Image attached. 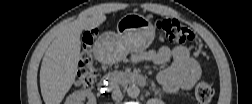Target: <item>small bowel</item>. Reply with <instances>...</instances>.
I'll return each mask as SVG.
<instances>
[{
    "label": "small bowel",
    "instance_id": "obj_1",
    "mask_svg": "<svg viewBox=\"0 0 252 104\" xmlns=\"http://www.w3.org/2000/svg\"><path fill=\"white\" fill-rule=\"evenodd\" d=\"M172 63L157 75L165 93H176L194 86L200 78V66L185 46H162L132 56L133 62L148 61L159 66Z\"/></svg>",
    "mask_w": 252,
    "mask_h": 104
}]
</instances>
